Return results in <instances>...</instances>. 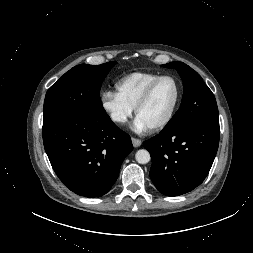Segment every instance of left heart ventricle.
<instances>
[{"mask_svg":"<svg viewBox=\"0 0 253 253\" xmlns=\"http://www.w3.org/2000/svg\"><path fill=\"white\" fill-rule=\"evenodd\" d=\"M176 97V85L171 79H164L155 88L149 101L139 111L138 118L151 128L163 121L170 112Z\"/></svg>","mask_w":253,"mask_h":253,"instance_id":"left-heart-ventricle-1","label":"left heart ventricle"}]
</instances>
